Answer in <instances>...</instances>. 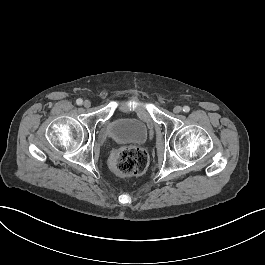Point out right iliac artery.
Segmentation results:
<instances>
[{
  "mask_svg": "<svg viewBox=\"0 0 265 265\" xmlns=\"http://www.w3.org/2000/svg\"><path fill=\"white\" fill-rule=\"evenodd\" d=\"M76 103H77V105H82L83 100L81 98H79V99L76 100Z\"/></svg>",
  "mask_w": 265,
  "mask_h": 265,
  "instance_id": "82829eb1",
  "label": "right iliac artery"
}]
</instances>
